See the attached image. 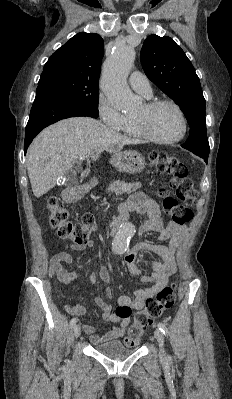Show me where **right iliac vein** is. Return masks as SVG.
<instances>
[{
  "label": "right iliac vein",
  "mask_w": 232,
  "mask_h": 399,
  "mask_svg": "<svg viewBox=\"0 0 232 399\" xmlns=\"http://www.w3.org/2000/svg\"><path fill=\"white\" fill-rule=\"evenodd\" d=\"M73 330H74L73 338H74V339H77L78 336L81 335L80 327H79V326H74V327H73Z\"/></svg>",
  "instance_id": "1"
}]
</instances>
